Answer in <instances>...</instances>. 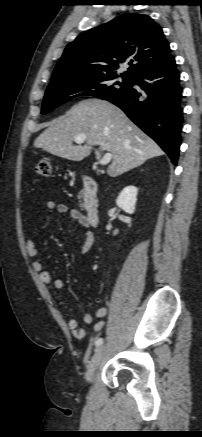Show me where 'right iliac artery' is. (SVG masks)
<instances>
[{"instance_id": "right-iliac-artery-1", "label": "right iliac artery", "mask_w": 202, "mask_h": 437, "mask_svg": "<svg viewBox=\"0 0 202 437\" xmlns=\"http://www.w3.org/2000/svg\"><path fill=\"white\" fill-rule=\"evenodd\" d=\"M102 343H103V339H102V338H98V339L95 341V346H96V347H99L100 345H102Z\"/></svg>"}]
</instances>
